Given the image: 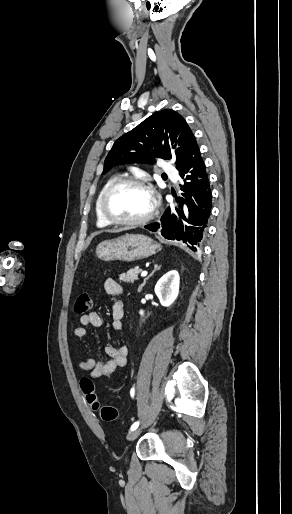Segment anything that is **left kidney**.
Wrapping results in <instances>:
<instances>
[{
    "mask_svg": "<svg viewBox=\"0 0 292 514\" xmlns=\"http://www.w3.org/2000/svg\"><path fill=\"white\" fill-rule=\"evenodd\" d=\"M180 278L176 270H171L164 274L160 280H158L155 286V294L160 300L162 306H171L175 302L179 292ZM139 314L144 316V310H140Z\"/></svg>",
    "mask_w": 292,
    "mask_h": 514,
    "instance_id": "obj_1",
    "label": "left kidney"
}]
</instances>
